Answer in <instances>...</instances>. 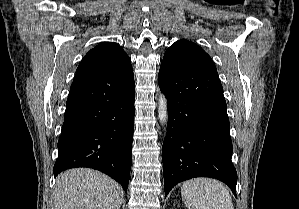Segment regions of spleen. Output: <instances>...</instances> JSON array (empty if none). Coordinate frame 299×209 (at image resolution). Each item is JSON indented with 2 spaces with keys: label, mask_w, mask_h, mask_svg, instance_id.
Here are the masks:
<instances>
[{
  "label": "spleen",
  "mask_w": 299,
  "mask_h": 209,
  "mask_svg": "<svg viewBox=\"0 0 299 209\" xmlns=\"http://www.w3.org/2000/svg\"><path fill=\"white\" fill-rule=\"evenodd\" d=\"M181 196L188 209H234L228 188L211 178L184 182Z\"/></svg>",
  "instance_id": "spleen-1"
}]
</instances>
